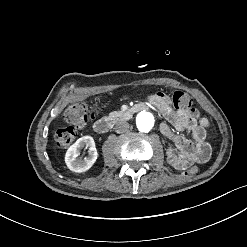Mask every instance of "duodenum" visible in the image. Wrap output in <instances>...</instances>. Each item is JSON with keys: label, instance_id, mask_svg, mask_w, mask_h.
Returning <instances> with one entry per match:
<instances>
[{"label": "duodenum", "instance_id": "410a0bca", "mask_svg": "<svg viewBox=\"0 0 247 247\" xmlns=\"http://www.w3.org/2000/svg\"><path fill=\"white\" fill-rule=\"evenodd\" d=\"M148 107L145 104H136L129 109L125 110L121 115L125 118H129L134 112L141 111V110H147ZM114 124L113 118H102L97 121H95L93 127L95 132L97 133H106L110 131Z\"/></svg>", "mask_w": 247, "mask_h": 247}]
</instances>
